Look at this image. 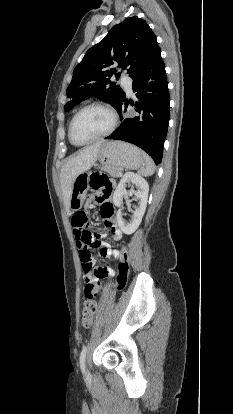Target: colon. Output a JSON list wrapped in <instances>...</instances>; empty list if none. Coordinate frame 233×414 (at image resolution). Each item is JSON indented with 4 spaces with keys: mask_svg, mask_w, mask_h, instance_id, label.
Returning <instances> with one entry per match:
<instances>
[{
    "mask_svg": "<svg viewBox=\"0 0 233 414\" xmlns=\"http://www.w3.org/2000/svg\"><path fill=\"white\" fill-rule=\"evenodd\" d=\"M90 187L99 192L101 196L98 198L101 205V215L108 217L112 211L113 206L106 199L112 194L114 188V181L104 173H93L89 179ZM72 224L77 231V243L79 247L80 259L82 267L85 272L91 271L94 266V257L91 252V247H99V242L95 238V234L89 229L88 216L85 211H76L72 217ZM101 253V252H100ZM119 259V272L117 275V288L123 289L127 283L129 275L128 251L123 247L117 252ZM96 273L100 278L105 277L106 268L100 266L96 268ZM97 287L93 284L85 286L84 294L85 301L82 310V323L84 327H90L93 323L94 316L97 311Z\"/></svg>",
    "mask_w": 233,
    "mask_h": 414,
    "instance_id": "1",
    "label": "colon"
}]
</instances>
